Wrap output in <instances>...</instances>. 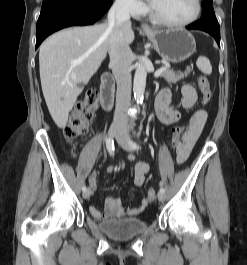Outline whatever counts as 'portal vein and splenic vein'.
Segmentation results:
<instances>
[{"label": "portal vein and splenic vein", "instance_id": "1", "mask_svg": "<svg viewBox=\"0 0 247 265\" xmlns=\"http://www.w3.org/2000/svg\"><path fill=\"white\" fill-rule=\"evenodd\" d=\"M164 67H161V68H159L156 72H155V74H154V76L155 77H159L161 74H162V72L164 71Z\"/></svg>", "mask_w": 247, "mask_h": 265}]
</instances>
